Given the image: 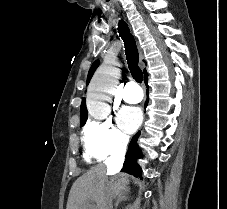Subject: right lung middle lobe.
Returning a JSON list of instances; mask_svg holds the SVG:
<instances>
[{
	"instance_id": "right-lung-middle-lobe-1",
	"label": "right lung middle lobe",
	"mask_w": 227,
	"mask_h": 209,
	"mask_svg": "<svg viewBox=\"0 0 227 209\" xmlns=\"http://www.w3.org/2000/svg\"><path fill=\"white\" fill-rule=\"evenodd\" d=\"M86 120H87V118H86V119H81V120H80V126H81V127L85 125Z\"/></svg>"
}]
</instances>
